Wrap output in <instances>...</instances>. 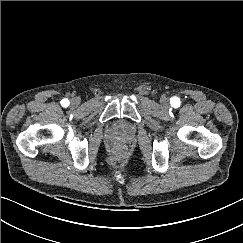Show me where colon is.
<instances>
[{
  "mask_svg": "<svg viewBox=\"0 0 243 243\" xmlns=\"http://www.w3.org/2000/svg\"><path fill=\"white\" fill-rule=\"evenodd\" d=\"M123 155V150H122V148H120V147H115L114 149H113V156L115 157V158H120L121 156Z\"/></svg>",
  "mask_w": 243,
  "mask_h": 243,
  "instance_id": "colon-1",
  "label": "colon"
}]
</instances>
